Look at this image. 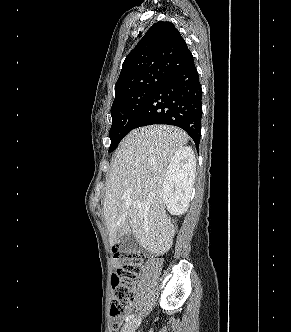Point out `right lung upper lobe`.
I'll use <instances>...</instances> for the list:
<instances>
[{"label": "right lung upper lobe", "instance_id": "cb5924a9", "mask_svg": "<svg viewBox=\"0 0 291 332\" xmlns=\"http://www.w3.org/2000/svg\"><path fill=\"white\" fill-rule=\"evenodd\" d=\"M193 56L171 22L155 23L126 57L115 84V100L162 81L191 62Z\"/></svg>", "mask_w": 291, "mask_h": 332}]
</instances>
